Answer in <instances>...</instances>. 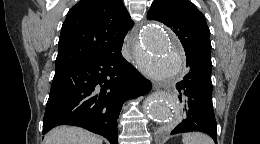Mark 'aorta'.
Here are the masks:
<instances>
[{"instance_id":"aorta-1","label":"aorta","mask_w":260,"mask_h":144,"mask_svg":"<svg viewBox=\"0 0 260 144\" xmlns=\"http://www.w3.org/2000/svg\"><path fill=\"white\" fill-rule=\"evenodd\" d=\"M140 42L145 57L137 58V64L150 79L169 81L181 72L184 61L179 43L163 25L147 23ZM143 109L149 120L168 124L170 128L181 121L177 97L171 93H152L144 100Z\"/></svg>"}]
</instances>
